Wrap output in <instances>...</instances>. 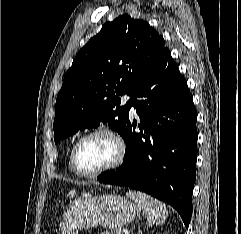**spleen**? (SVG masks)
Wrapping results in <instances>:
<instances>
[{"mask_svg": "<svg viewBox=\"0 0 241 234\" xmlns=\"http://www.w3.org/2000/svg\"><path fill=\"white\" fill-rule=\"evenodd\" d=\"M127 196L135 201L138 207L142 208L150 225H159L165 222L168 217L166 205L161 201L140 191H129Z\"/></svg>", "mask_w": 241, "mask_h": 234, "instance_id": "spleen-1", "label": "spleen"}]
</instances>
